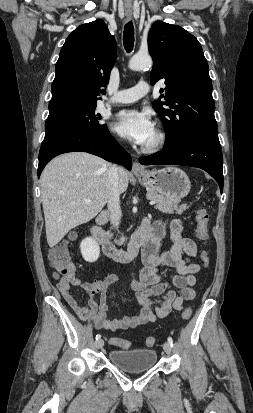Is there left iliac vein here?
<instances>
[{
	"label": "left iliac vein",
	"instance_id": "4c4485c4",
	"mask_svg": "<svg viewBox=\"0 0 253 413\" xmlns=\"http://www.w3.org/2000/svg\"><path fill=\"white\" fill-rule=\"evenodd\" d=\"M163 349L168 355L171 354V345L169 344V342H165L163 344Z\"/></svg>",
	"mask_w": 253,
	"mask_h": 413
}]
</instances>
